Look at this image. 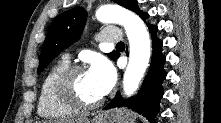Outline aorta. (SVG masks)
<instances>
[{
	"mask_svg": "<svg viewBox=\"0 0 221 123\" xmlns=\"http://www.w3.org/2000/svg\"><path fill=\"white\" fill-rule=\"evenodd\" d=\"M96 18L102 23H116L125 28L130 54L123 78V91L126 96H131L138 89L150 60L151 43L146 26L138 15L116 5L100 7Z\"/></svg>",
	"mask_w": 221,
	"mask_h": 123,
	"instance_id": "1",
	"label": "aorta"
}]
</instances>
